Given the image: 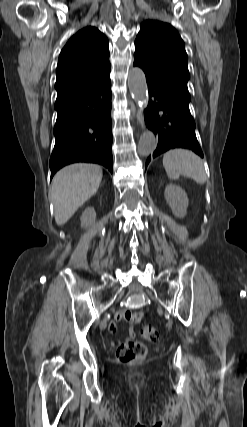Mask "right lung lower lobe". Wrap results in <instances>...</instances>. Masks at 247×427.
<instances>
[{"instance_id":"right-lung-lower-lobe-1","label":"right lung lower lobe","mask_w":247,"mask_h":427,"mask_svg":"<svg viewBox=\"0 0 247 427\" xmlns=\"http://www.w3.org/2000/svg\"><path fill=\"white\" fill-rule=\"evenodd\" d=\"M55 109L51 178L60 168L75 162L98 163L112 172L110 78L87 90L58 98Z\"/></svg>"}]
</instances>
